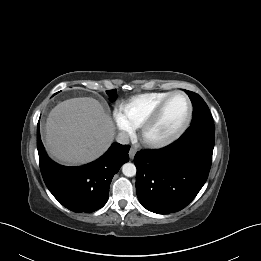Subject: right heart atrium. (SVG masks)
Wrapping results in <instances>:
<instances>
[{
	"instance_id": "1",
	"label": "right heart atrium",
	"mask_w": 261,
	"mask_h": 261,
	"mask_svg": "<svg viewBox=\"0 0 261 261\" xmlns=\"http://www.w3.org/2000/svg\"><path fill=\"white\" fill-rule=\"evenodd\" d=\"M113 118L120 136L125 137L133 133V128L129 125L120 111H115L113 113Z\"/></svg>"
}]
</instances>
